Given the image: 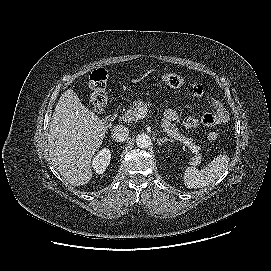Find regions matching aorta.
I'll use <instances>...</instances> for the list:
<instances>
[{
    "label": "aorta",
    "mask_w": 271,
    "mask_h": 271,
    "mask_svg": "<svg viewBox=\"0 0 271 271\" xmlns=\"http://www.w3.org/2000/svg\"><path fill=\"white\" fill-rule=\"evenodd\" d=\"M136 144L139 148H148L151 145V139L147 134H139L136 137Z\"/></svg>",
    "instance_id": "obj_1"
}]
</instances>
